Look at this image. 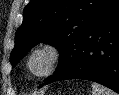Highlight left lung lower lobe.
Segmentation results:
<instances>
[{"label":"left lung lower lobe","instance_id":"1","mask_svg":"<svg viewBox=\"0 0 119 95\" xmlns=\"http://www.w3.org/2000/svg\"><path fill=\"white\" fill-rule=\"evenodd\" d=\"M67 79L94 81L119 93V0L86 30L71 67L50 77L45 84Z\"/></svg>","mask_w":119,"mask_h":95}]
</instances>
